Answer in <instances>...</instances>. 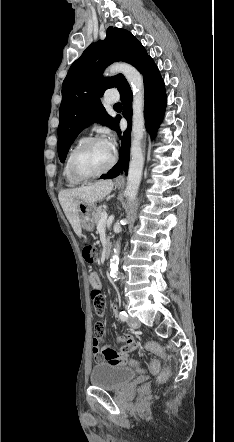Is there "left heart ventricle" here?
<instances>
[{
    "label": "left heart ventricle",
    "instance_id": "b2bd125f",
    "mask_svg": "<svg viewBox=\"0 0 234 442\" xmlns=\"http://www.w3.org/2000/svg\"><path fill=\"white\" fill-rule=\"evenodd\" d=\"M112 153L105 141L90 144L76 156L75 167L82 174L97 173L109 164Z\"/></svg>",
    "mask_w": 234,
    "mask_h": 442
}]
</instances>
